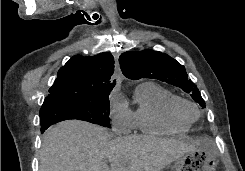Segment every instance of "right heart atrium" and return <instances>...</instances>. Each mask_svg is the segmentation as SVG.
<instances>
[{
	"label": "right heart atrium",
	"mask_w": 245,
	"mask_h": 171,
	"mask_svg": "<svg viewBox=\"0 0 245 171\" xmlns=\"http://www.w3.org/2000/svg\"><path fill=\"white\" fill-rule=\"evenodd\" d=\"M109 118L113 130L117 133H128L134 126L131 111L114 93L109 99Z\"/></svg>",
	"instance_id": "d8ad5b80"
}]
</instances>
